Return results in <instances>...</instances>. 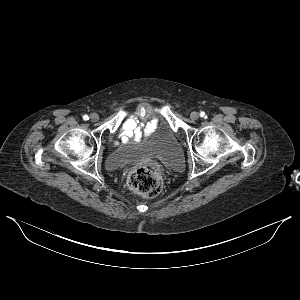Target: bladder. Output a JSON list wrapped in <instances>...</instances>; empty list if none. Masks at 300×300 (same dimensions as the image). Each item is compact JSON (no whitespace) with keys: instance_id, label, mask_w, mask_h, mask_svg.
<instances>
[{"instance_id":"31cf9c89","label":"bladder","mask_w":300,"mask_h":300,"mask_svg":"<svg viewBox=\"0 0 300 300\" xmlns=\"http://www.w3.org/2000/svg\"><path fill=\"white\" fill-rule=\"evenodd\" d=\"M127 153H134L148 157H160L173 168L182 163V148L176 134L165 124L158 123L156 128L142 141L135 144L124 145ZM108 164L112 171L120 168L122 160L114 157L108 158Z\"/></svg>"}]
</instances>
